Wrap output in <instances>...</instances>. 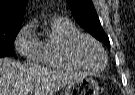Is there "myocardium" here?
Wrapping results in <instances>:
<instances>
[{"mask_svg": "<svg viewBox=\"0 0 135 95\" xmlns=\"http://www.w3.org/2000/svg\"><path fill=\"white\" fill-rule=\"evenodd\" d=\"M83 39L92 42L100 50V52L102 53L104 63H103L101 68L93 69V68H90L88 66H85L76 57V55H75V47L78 44V42L80 40H83ZM63 56L65 57V59L68 62H70L74 66H76V67H78L80 69L92 72V73H99V72L103 71L106 68L107 63H108V56H107V53H106L105 49L103 48V46L95 38H93L92 36H90L88 34H85V33H81V32L74 34L73 36H71L66 41V43H65V45L63 47Z\"/></svg>", "mask_w": 135, "mask_h": 95, "instance_id": "f54148a6", "label": "myocardium"}]
</instances>
